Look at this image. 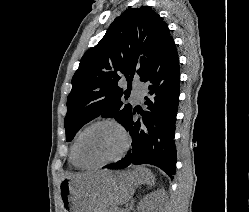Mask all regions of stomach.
<instances>
[{
  "instance_id": "obj_1",
  "label": "stomach",
  "mask_w": 249,
  "mask_h": 212,
  "mask_svg": "<svg viewBox=\"0 0 249 212\" xmlns=\"http://www.w3.org/2000/svg\"><path fill=\"white\" fill-rule=\"evenodd\" d=\"M86 175H71L59 184L64 212H106L113 205L126 204L136 185L130 184L128 170H86Z\"/></svg>"
}]
</instances>
